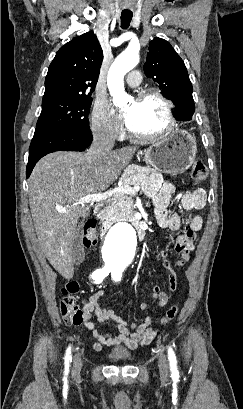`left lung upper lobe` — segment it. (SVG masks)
Masks as SVG:
<instances>
[{"instance_id":"obj_1","label":"left lung upper lobe","mask_w":243,"mask_h":409,"mask_svg":"<svg viewBox=\"0 0 243 409\" xmlns=\"http://www.w3.org/2000/svg\"><path fill=\"white\" fill-rule=\"evenodd\" d=\"M144 72L160 85L161 93L176 106L178 120H190L195 112L193 87L183 60L164 39L154 38L149 44Z\"/></svg>"}]
</instances>
